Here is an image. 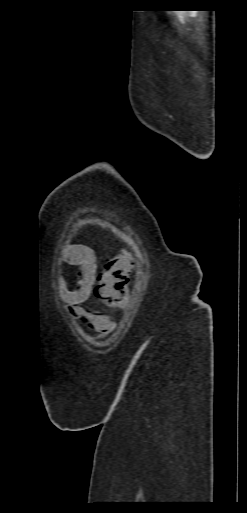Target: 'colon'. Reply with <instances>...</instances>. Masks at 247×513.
<instances>
[{
  "mask_svg": "<svg viewBox=\"0 0 247 513\" xmlns=\"http://www.w3.org/2000/svg\"><path fill=\"white\" fill-rule=\"evenodd\" d=\"M133 259L127 253L110 258L97 273L94 294L111 307H119L127 294Z\"/></svg>",
  "mask_w": 247,
  "mask_h": 513,
  "instance_id": "obj_1",
  "label": "colon"
}]
</instances>
